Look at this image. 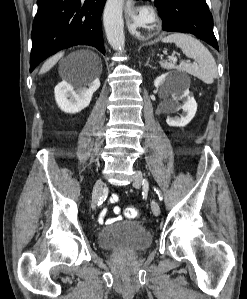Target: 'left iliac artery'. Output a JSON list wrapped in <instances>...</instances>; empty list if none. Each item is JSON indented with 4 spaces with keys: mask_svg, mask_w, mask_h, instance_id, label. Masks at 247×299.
I'll use <instances>...</instances> for the list:
<instances>
[{
    "mask_svg": "<svg viewBox=\"0 0 247 299\" xmlns=\"http://www.w3.org/2000/svg\"><path fill=\"white\" fill-rule=\"evenodd\" d=\"M155 192L158 194V197L160 200H162V194H161V191L158 189V188H154Z\"/></svg>",
    "mask_w": 247,
    "mask_h": 299,
    "instance_id": "1",
    "label": "left iliac artery"
}]
</instances>
